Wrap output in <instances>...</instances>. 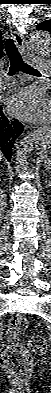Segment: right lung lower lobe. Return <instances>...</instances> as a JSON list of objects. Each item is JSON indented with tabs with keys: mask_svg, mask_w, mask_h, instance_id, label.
Wrapping results in <instances>:
<instances>
[{
	"mask_svg": "<svg viewBox=\"0 0 51 393\" xmlns=\"http://www.w3.org/2000/svg\"><path fill=\"white\" fill-rule=\"evenodd\" d=\"M22 131L23 125L17 119L6 117L0 106V154L3 153L9 161L13 144Z\"/></svg>",
	"mask_w": 51,
	"mask_h": 393,
	"instance_id": "1",
	"label": "right lung lower lobe"
}]
</instances>
